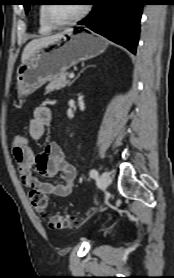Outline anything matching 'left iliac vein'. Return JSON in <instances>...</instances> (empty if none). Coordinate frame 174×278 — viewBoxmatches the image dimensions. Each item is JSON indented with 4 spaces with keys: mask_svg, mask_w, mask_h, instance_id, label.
I'll list each match as a JSON object with an SVG mask.
<instances>
[{
    "mask_svg": "<svg viewBox=\"0 0 174 278\" xmlns=\"http://www.w3.org/2000/svg\"><path fill=\"white\" fill-rule=\"evenodd\" d=\"M110 183V174L109 172L105 171L100 176V185L103 190H105Z\"/></svg>",
    "mask_w": 174,
    "mask_h": 278,
    "instance_id": "left-iliac-vein-1",
    "label": "left iliac vein"
}]
</instances>
